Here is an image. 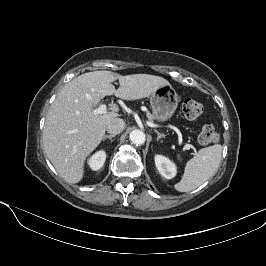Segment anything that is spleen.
<instances>
[{
	"label": "spleen",
	"mask_w": 266,
	"mask_h": 266,
	"mask_svg": "<svg viewBox=\"0 0 266 266\" xmlns=\"http://www.w3.org/2000/svg\"><path fill=\"white\" fill-rule=\"evenodd\" d=\"M221 154L222 146L220 144L200 149L186 163L182 179L174 185V188L179 192H190L198 188L216 173L220 165ZM177 158L181 160L180 155H177Z\"/></svg>",
	"instance_id": "spleen-1"
}]
</instances>
